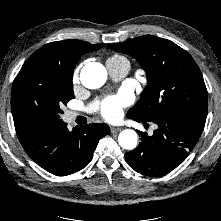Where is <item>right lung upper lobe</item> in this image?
<instances>
[{
    "instance_id": "right-lung-upper-lobe-1",
    "label": "right lung upper lobe",
    "mask_w": 221,
    "mask_h": 221,
    "mask_svg": "<svg viewBox=\"0 0 221 221\" xmlns=\"http://www.w3.org/2000/svg\"><path fill=\"white\" fill-rule=\"evenodd\" d=\"M100 48V46L95 44L70 39L48 43L35 51L30 57L39 56L45 60H56L76 64L83 54L99 50ZM22 131L24 130H16V133L18 134Z\"/></svg>"
}]
</instances>
